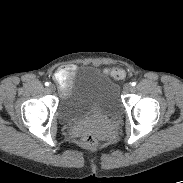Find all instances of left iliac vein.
<instances>
[{"instance_id": "1", "label": "left iliac vein", "mask_w": 183, "mask_h": 183, "mask_svg": "<svg viewBox=\"0 0 183 183\" xmlns=\"http://www.w3.org/2000/svg\"><path fill=\"white\" fill-rule=\"evenodd\" d=\"M131 90H132L131 84L126 83V84L124 85V91H125V92H129V91H131Z\"/></svg>"}]
</instances>
